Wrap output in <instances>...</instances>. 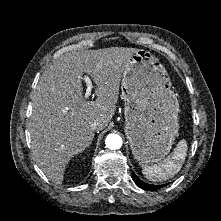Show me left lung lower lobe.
Segmentation results:
<instances>
[{"label": "left lung lower lobe", "instance_id": "left-lung-lower-lobe-1", "mask_svg": "<svg viewBox=\"0 0 221 221\" xmlns=\"http://www.w3.org/2000/svg\"><path fill=\"white\" fill-rule=\"evenodd\" d=\"M133 175V179H134V182L136 183V185L142 189H145V190H152V191H156L157 189L163 187V186H166L165 185H151V184H147L145 182H143L142 180H140L136 174L133 172L132 173Z\"/></svg>", "mask_w": 221, "mask_h": 221}]
</instances>
